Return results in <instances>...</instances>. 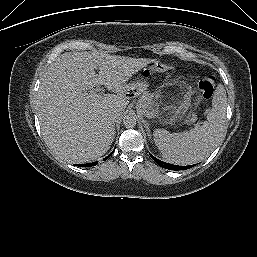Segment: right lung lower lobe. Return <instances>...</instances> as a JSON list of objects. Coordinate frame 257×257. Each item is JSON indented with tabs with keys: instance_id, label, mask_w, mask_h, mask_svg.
<instances>
[{
	"instance_id": "1",
	"label": "right lung lower lobe",
	"mask_w": 257,
	"mask_h": 257,
	"mask_svg": "<svg viewBox=\"0 0 257 257\" xmlns=\"http://www.w3.org/2000/svg\"><path fill=\"white\" fill-rule=\"evenodd\" d=\"M113 153V152H112ZM112 153L110 154V155H108L106 158H104V160H107L111 155H112ZM97 163L96 162H94V163H88V164H79V165H77V166H95Z\"/></svg>"
}]
</instances>
